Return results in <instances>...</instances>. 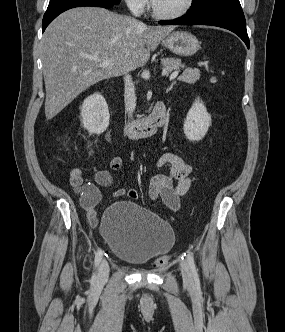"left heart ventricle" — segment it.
<instances>
[{
  "label": "left heart ventricle",
  "mask_w": 285,
  "mask_h": 332,
  "mask_svg": "<svg viewBox=\"0 0 285 332\" xmlns=\"http://www.w3.org/2000/svg\"><path fill=\"white\" fill-rule=\"evenodd\" d=\"M153 3L158 12L172 14L181 10L186 0H155Z\"/></svg>",
  "instance_id": "obj_1"
}]
</instances>
